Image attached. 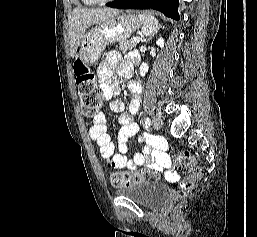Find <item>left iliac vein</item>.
<instances>
[{"label": "left iliac vein", "instance_id": "4c4485c4", "mask_svg": "<svg viewBox=\"0 0 257 237\" xmlns=\"http://www.w3.org/2000/svg\"><path fill=\"white\" fill-rule=\"evenodd\" d=\"M163 125V121L160 117H155L152 121V126L154 129L159 130Z\"/></svg>", "mask_w": 257, "mask_h": 237}]
</instances>
